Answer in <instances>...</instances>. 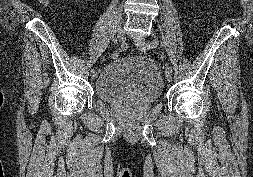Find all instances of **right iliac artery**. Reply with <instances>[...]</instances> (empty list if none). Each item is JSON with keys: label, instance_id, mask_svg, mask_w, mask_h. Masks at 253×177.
Instances as JSON below:
<instances>
[{"label": "right iliac artery", "instance_id": "82829eb1", "mask_svg": "<svg viewBox=\"0 0 253 177\" xmlns=\"http://www.w3.org/2000/svg\"><path fill=\"white\" fill-rule=\"evenodd\" d=\"M117 41V40H116ZM126 48V43L125 41L123 40L121 45L119 46V49L120 50H124ZM89 72L90 73H95L96 72V69H95V66H92V68L89 69Z\"/></svg>", "mask_w": 253, "mask_h": 177}]
</instances>
